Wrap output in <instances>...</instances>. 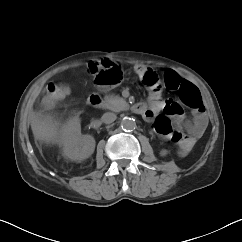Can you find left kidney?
Returning a JSON list of instances; mask_svg holds the SVG:
<instances>
[{
    "instance_id": "obj_1",
    "label": "left kidney",
    "mask_w": 242,
    "mask_h": 242,
    "mask_svg": "<svg viewBox=\"0 0 242 242\" xmlns=\"http://www.w3.org/2000/svg\"><path fill=\"white\" fill-rule=\"evenodd\" d=\"M167 154H168V151L165 150V149H163V150L160 151V155L161 156H166Z\"/></svg>"
}]
</instances>
